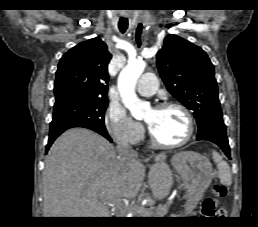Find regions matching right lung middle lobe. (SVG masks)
Listing matches in <instances>:
<instances>
[{
	"mask_svg": "<svg viewBox=\"0 0 258 227\" xmlns=\"http://www.w3.org/2000/svg\"><path fill=\"white\" fill-rule=\"evenodd\" d=\"M107 105V98L75 93L61 94L55 98L52 121H70L94 131H106L104 114Z\"/></svg>",
	"mask_w": 258,
	"mask_h": 227,
	"instance_id": "obj_1",
	"label": "right lung middle lobe"
}]
</instances>
